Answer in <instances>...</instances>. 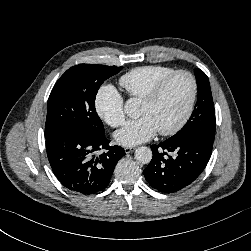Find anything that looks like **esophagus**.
Instances as JSON below:
<instances>
[{
	"instance_id": "34e87169",
	"label": "esophagus",
	"mask_w": 251,
	"mask_h": 251,
	"mask_svg": "<svg viewBox=\"0 0 251 251\" xmlns=\"http://www.w3.org/2000/svg\"><path fill=\"white\" fill-rule=\"evenodd\" d=\"M136 148L135 147H125L124 150L126 153H131L135 150Z\"/></svg>"
}]
</instances>
